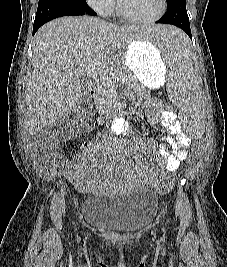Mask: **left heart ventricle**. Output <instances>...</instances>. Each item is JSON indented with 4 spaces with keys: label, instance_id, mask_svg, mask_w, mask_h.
I'll return each mask as SVG.
<instances>
[{
    "label": "left heart ventricle",
    "instance_id": "left-heart-ventricle-1",
    "mask_svg": "<svg viewBox=\"0 0 227 267\" xmlns=\"http://www.w3.org/2000/svg\"><path fill=\"white\" fill-rule=\"evenodd\" d=\"M128 13L138 18H151L160 9V0H122Z\"/></svg>",
    "mask_w": 227,
    "mask_h": 267
}]
</instances>
